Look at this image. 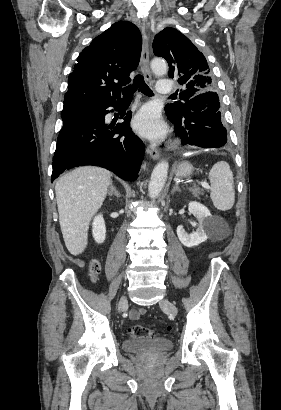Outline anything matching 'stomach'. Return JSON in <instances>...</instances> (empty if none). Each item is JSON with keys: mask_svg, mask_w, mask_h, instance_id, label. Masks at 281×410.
Returning <instances> with one entry per match:
<instances>
[{"mask_svg": "<svg viewBox=\"0 0 281 410\" xmlns=\"http://www.w3.org/2000/svg\"><path fill=\"white\" fill-rule=\"evenodd\" d=\"M193 166L189 162H182L177 166L175 174L177 177L186 178L193 173Z\"/></svg>", "mask_w": 281, "mask_h": 410, "instance_id": "0dacf381", "label": "stomach"}]
</instances>
